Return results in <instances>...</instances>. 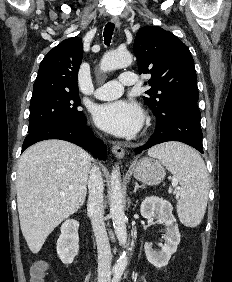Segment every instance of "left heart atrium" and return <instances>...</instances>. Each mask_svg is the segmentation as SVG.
<instances>
[{
  "mask_svg": "<svg viewBox=\"0 0 232 282\" xmlns=\"http://www.w3.org/2000/svg\"><path fill=\"white\" fill-rule=\"evenodd\" d=\"M94 119L98 127L111 134L129 136L141 128L143 113L135 103L117 100L97 106Z\"/></svg>",
  "mask_w": 232,
  "mask_h": 282,
  "instance_id": "1",
  "label": "left heart atrium"
}]
</instances>
